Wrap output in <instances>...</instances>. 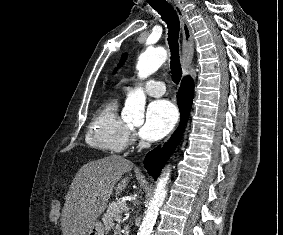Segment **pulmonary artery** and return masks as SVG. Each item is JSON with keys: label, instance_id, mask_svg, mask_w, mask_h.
<instances>
[{"label": "pulmonary artery", "instance_id": "e3ab8cb5", "mask_svg": "<svg viewBox=\"0 0 283 235\" xmlns=\"http://www.w3.org/2000/svg\"><path fill=\"white\" fill-rule=\"evenodd\" d=\"M145 91V93L149 96L159 97L165 93V85L161 81L157 80H148L139 85ZM134 89V87H127L125 89V93H129Z\"/></svg>", "mask_w": 283, "mask_h": 235}]
</instances>
